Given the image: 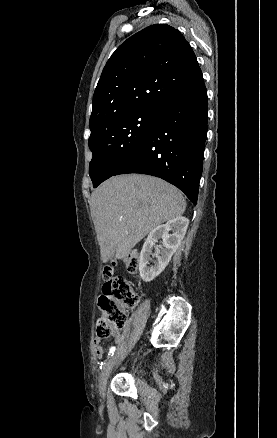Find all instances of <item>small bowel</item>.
Instances as JSON below:
<instances>
[{
    "label": "small bowel",
    "instance_id": "obj_1",
    "mask_svg": "<svg viewBox=\"0 0 277 438\" xmlns=\"http://www.w3.org/2000/svg\"><path fill=\"white\" fill-rule=\"evenodd\" d=\"M112 338H113V341L116 345H120L122 343V335L119 331H115L112 334ZM92 344H93V346L98 347V346H101L100 345L101 341H100V339L95 338V339H93ZM96 355H97V357H100L102 355V348H101V350L96 351Z\"/></svg>",
    "mask_w": 277,
    "mask_h": 438
}]
</instances>
